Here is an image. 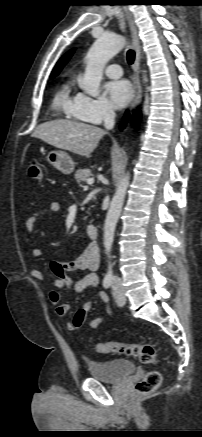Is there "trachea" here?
Wrapping results in <instances>:
<instances>
[{"instance_id": "1", "label": "trachea", "mask_w": 202, "mask_h": 437, "mask_svg": "<svg viewBox=\"0 0 202 437\" xmlns=\"http://www.w3.org/2000/svg\"><path fill=\"white\" fill-rule=\"evenodd\" d=\"M135 60V52L133 50L127 51V62L131 65Z\"/></svg>"}]
</instances>
